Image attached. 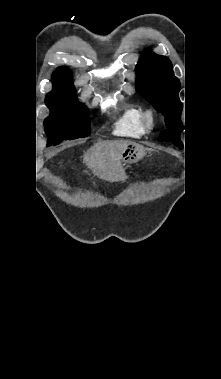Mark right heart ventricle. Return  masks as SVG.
<instances>
[{
    "instance_id": "obj_1",
    "label": "right heart ventricle",
    "mask_w": 221,
    "mask_h": 379,
    "mask_svg": "<svg viewBox=\"0 0 221 379\" xmlns=\"http://www.w3.org/2000/svg\"><path fill=\"white\" fill-rule=\"evenodd\" d=\"M144 112L137 107H125L113 123V132L120 136L140 138L146 134Z\"/></svg>"
}]
</instances>
